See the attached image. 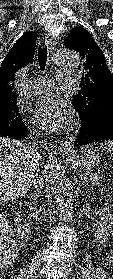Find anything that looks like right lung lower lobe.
I'll return each mask as SVG.
<instances>
[{"label":"right lung lower lobe","mask_w":113,"mask_h":279,"mask_svg":"<svg viewBox=\"0 0 113 279\" xmlns=\"http://www.w3.org/2000/svg\"><path fill=\"white\" fill-rule=\"evenodd\" d=\"M27 135H28V129L25 125L9 128L0 132V136L10 137L15 139H23L26 138Z\"/></svg>","instance_id":"right-lung-lower-lobe-1"}]
</instances>
